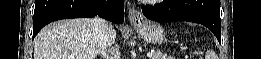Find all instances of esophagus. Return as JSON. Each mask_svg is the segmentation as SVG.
Listing matches in <instances>:
<instances>
[{"instance_id":"obj_1","label":"esophagus","mask_w":261,"mask_h":59,"mask_svg":"<svg viewBox=\"0 0 261 59\" xmlns=\"http://www.w3.org/2000/svg\"><path fill=\"white\" fill-rule=\"evenodd\" d=\"M128 13H129V20L131 24L138 25L144 22L143 14L140 11L136 10L135 8L130 7Z\"/></svg>"}]
</instances>
